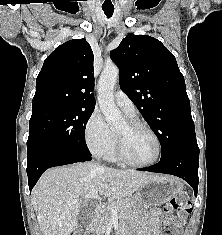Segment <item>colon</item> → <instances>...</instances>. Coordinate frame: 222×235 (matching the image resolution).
<instances>
[{"label":"colon","instance_id":"1","mask_svg":"<svg viewBox=\"0 0 222 235\" xmlns=\"http://www.w3.org/2000/svg\"><path fill=\"white\" fill-rule=\"evenodd\" d=\"M192 210L191 202L185 192L177 193L165 208L162 223V235H179L181 226L179 220ZM72 235H81L74 233Z\"/></svg>","mask_w":222,"mask_h":235}]
</instances>
